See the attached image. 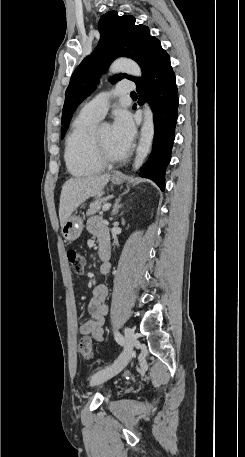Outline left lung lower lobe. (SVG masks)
Returning <instances> with one entry per match:
<instances>
[{
    "mask_svg": "<svg viewBox=\"0 0 245 457\" xmlns=\"http://www.w3.org/2000/svg\"><path fill=\"white\" fill-rule=\"evenodd\" d=\"M141 68L142 78L134 81L140 96L138 103H142L144 95L148 99L154 115L155 134L152 153L139 174L153 180L163 191L177 123L179 103L176 78L170 57L162 47L152 52Z\"/></svg>",
    "mask_w": 245,
    "mask_h": 457,
    "instance_id": "1",
    "label": "left lung lower lobe"
}]
</instances>
